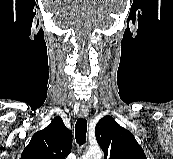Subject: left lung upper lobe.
Wrapping results in <instances>:
<instances>
[{
    "label": "left lung upper lobe",
    "instance_id": "obj_1",
    "mask_svg": "<svg viewBox=\"0 0 173 159\" xmlns=\"http://www.w3.org/2000/svg\"><path fill=\"white\" fill-rule=\"evenodd\" d=\"M95 135L104 152V159H146L133 134L121 127L111 116L99 120Z\"/></svg>",
    "mask_w": 173,
    "mask_h": 159
}]
</instances>
